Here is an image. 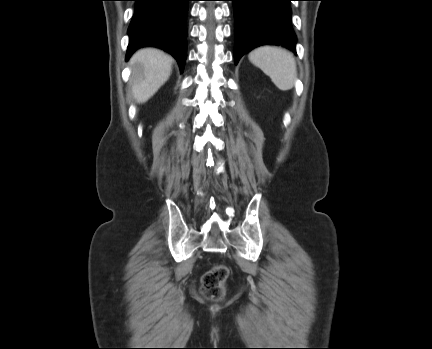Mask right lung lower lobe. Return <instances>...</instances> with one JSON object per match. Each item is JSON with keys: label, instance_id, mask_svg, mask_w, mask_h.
<instances>
[{"label": "right lung lower lobe", "instance_id": "98d812e1", "mask_svg": "<svg viewBox=\"0 0 432 349\" xmlns=\"http://www.w3.org/2000/svg\"><path fill=\"white\" fill-rule=\"evenodd\" d=\"M135 13L128 29L126 60L140 47L155 46L177 60L183 72L186 60V17L190 0H133Z\"/></svg>", "mask_w": 432, "mask_h": 349}]
</instances>
